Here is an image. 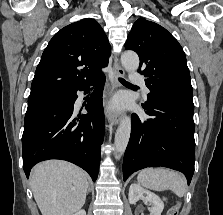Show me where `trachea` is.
Wrapping results in <instances>:
<instances>
[{"instance_id":"1","label":"trachea","mask_w":223,"mask_h":215,"mask_svg":"<svg viewBox=\"0 0 223 215\" xmlns=\"http://www.w3.org/2000/svg\"><path fill=\"white\" fill-rule=\"evenodd\" d=\"M119 81H120L121 83H129V82H127L126 80H124V78H121V77H119Z\"/></svg>"}]
</instances>
